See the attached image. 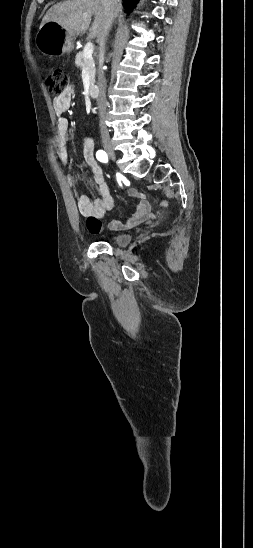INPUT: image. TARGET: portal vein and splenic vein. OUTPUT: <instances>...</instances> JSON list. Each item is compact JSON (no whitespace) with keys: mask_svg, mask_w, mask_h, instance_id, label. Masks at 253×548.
Masks as SVG:
<instances>
[{"mask_svg":"<svg viewBox=\"0 0 253 548\" xmlns=\"http://www.w3.org/2000/svg\"><path fill=\"white\" fill-rule=\"evenodd\" d=\"M94 51V46L91 42H88L83 50L85 59L91 58Z\"/></svg>","mask_w":253,"mask_h":548,"instance_id":"portal-vein-and-splenic-vein-1","label":"portal vein and splenic vein"}]
</instances>
